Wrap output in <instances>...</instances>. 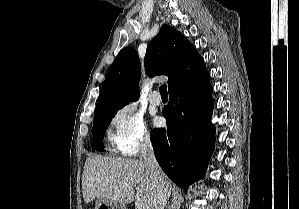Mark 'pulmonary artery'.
Wrapping results in <instances>:
<instances>
[{
  "label": "pulmonary artery",
  "instance_id": "obj_1",
  "mask_svg": "<svg viewBox=\"0 0 299 209\" xmlns=\"http://www.w3.org/2000/svg\"><path fill=\"white\" fill-rule=\"evenodd\" d=\"M149 101L153 106H159L161 104V98L158 96L157 91H152L149 96Z\"/></svg>",
  "mask_w": 299,
  "mask_h": 209
}]
</instances>
